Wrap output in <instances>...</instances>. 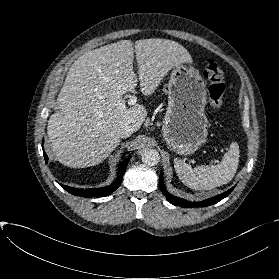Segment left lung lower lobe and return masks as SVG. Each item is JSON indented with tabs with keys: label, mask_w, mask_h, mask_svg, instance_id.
<instances>
[{
	"label": "left lung lower lobe",
	"mask_w": 279,
	"mask_h": 279,
	"mask_svg": "<svg viewBox=\"0 0 279 279\" xmlns=\"http://www.w3.org/2000/svg\"><path fill=\"white\" fill-rule=\"evenodd\" d=\"M159 185H160V189L162 190V193L164 194L166 199L171 204H173L175 206L185 207V208L203 207V206L213 205V204L219 202L220 200H222L223 198L227 197L234 189V187H232L231 189H229L228 191H226L220 195H217L210 199L203 200L201 202H190V201L181 199L179 197H175L166 190L162 173L160 174Z\"/></svg>",
	"instance_id": "obj_1"
}]
</instances>
